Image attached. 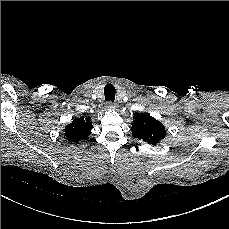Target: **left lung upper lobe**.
<instances>
[{
    "label": "left lung upper lobe",
    "instance_id": "1",
    "mask_svg": "<svg viewBox=\"0 0 229 229\" xmlns=\"http://www.w3.org/2000/svg\"><path fill=\"white\" fill-rule=\"evenodd\" d=\"M131 130L135 138L153 145L159 143L166 136L164 125L150 114L135 113Z\"/></svg>",
    "mask_w": 229,
    "mask_h": 229
}]
</instances>
